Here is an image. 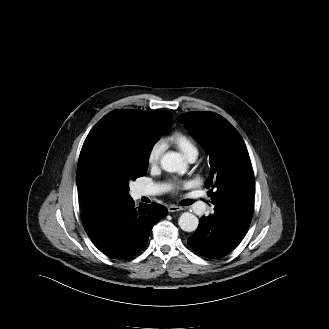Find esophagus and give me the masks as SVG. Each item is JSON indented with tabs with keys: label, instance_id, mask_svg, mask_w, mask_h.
<instances>
[{
	"label": "esophagus",
	"instance_id": "obj_1",
	"mask_svg": "<svg viewBox=\"0 0 329 329\" xmlns=\"http://www.w3.org/2000/svg\"><path fill=\"white\" fill-rule=\"evenodd\" d=\"M180 210H183V208L180 207V206L170 205V206L168 207V211H169V212H176V211H180Z\"/></svg>",
	"mask_w": 329,
	"mask_h": 329
}]
</instances>
